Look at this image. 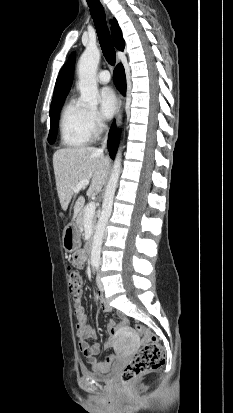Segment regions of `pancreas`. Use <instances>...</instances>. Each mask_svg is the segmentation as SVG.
I'll list each match as a JSON object with an SVG mask.
<instances>
[{"label":"pancreas","mask_w":233,"mask_h":413,"mask_svg":"<svg viewBox=\"0 0 233 413\" xmlns=\"http://www.w3.org/2000/svg\"><path fill=\"white\" fill-rule=\"evenodd\" d=\"M87 206L82 208V210L79 212L77 220H76V224L80 229L84 228L85 210H86ZM95 224H96V217H93L92 218V227H93V229H95Z\"/></svg>","instance_id":"pancreas-1"}]
</instances>
